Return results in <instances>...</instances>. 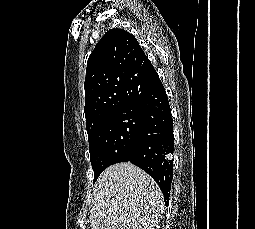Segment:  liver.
Masks as SVG:
<instances>
[{
  "instance_id": "obj_1",
  "label": "liver",
  "mask_w": 255,
  "mask_h": 229,
  "mask_svg": "<svg viewBox=\"0 0 255 229\" xmlns=\"http://www.w3.org/2000/svg\"><path fill=\"white\" fill-rule=\"evenodd\" d=\"M164 205L156 182L130 162L108 167L93 189L91 229H154Z\"/></svg>"
}]
</instances>
